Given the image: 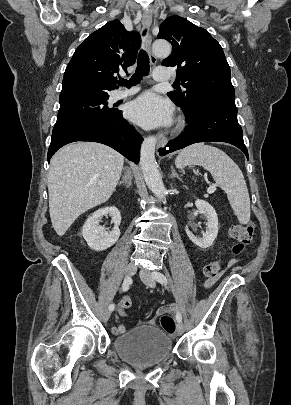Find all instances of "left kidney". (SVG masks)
Returning a JSON list of instances; mask_svg holds the SVG:
<instances>
[{"label": "left kidney", "mask_w": 291, "mask_h": 405, "mask_svg": "<svg viewBox=\"0 0 291 405\" xmlns=\"http://www.w3.org/2000/svg\"><path fill=\"white\" fill-rule=\"evenodd\" d=\"M195 205L199 213L204 214L207 218L206 232L203 237L195 236L189 229H186V234L189 239L201 249L210 247L218 234V216L214 208L206 201L197 199Z\"/></svg>", "instance_id": "5707ae66"}]
</instances>
